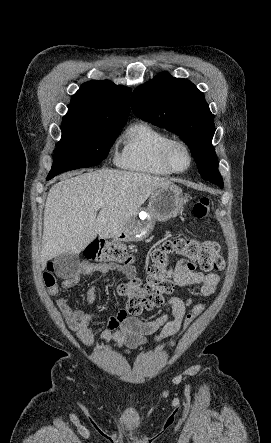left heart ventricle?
Returning <instances> with one entry per match:
<instances>
[{
    "mask_svg": "<svg viewBox=\"0 0 271 443\" xmlns=\"http://www.w3.org/2000/svg\"><path fill=\"white\" fill-rule=\"evenodd\" d=\"M171 160L179 170L187 169L190 165V156L186 148L181 144H175L171 148Z\"/></svg>",
    "mask_w": 271,
    "mask_h": 443,
    "instance_id": "1",
    "label": "left heart ventricle"
}]
</instances>
